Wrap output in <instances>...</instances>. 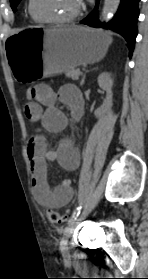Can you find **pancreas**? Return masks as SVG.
I'll return each mask as SVG.
<instances>
[{"mask_svg": "<svg viewBox=\"0 0 148 279\" xmlns=\"http://www.w3.org/2000/svg\"><path fill=\"white\" fill-rule=\"evenodd\" d=\"M65 75L68 77V78H71L73 80H78L79 79V76L81 75V72L79 69H67L65 70Z\"/></svg>", "mask_w": 148, "mask_h": 279, "instance_id": "pancreas-1", "label": "pancreas"}]
</instances>
